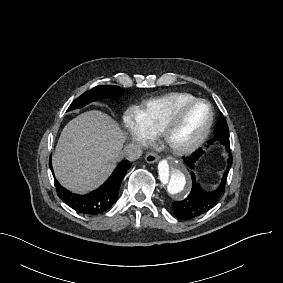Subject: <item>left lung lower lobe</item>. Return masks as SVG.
Masks as SVG:
<instances>
[{"instance_id":"obj_1","label":"left lung lower lobe","mask_w":283,"mask_h":283,"mask_svg":"<svg viewBox=\"0 0 283 283\" xmlns=\"http://www.w3.org/2000/svg\"><path fill=\"white\" fill-rule=\"evenodd\" d=\"M219 143L224 146L229 153L228 166L223 174L220 185L214 191L204 190L196 181L195 175L191 172L192 188L186 199L179 202H173L172 208L176 217L184 220H190L203 215L210 210L224 194L225 182L229 168L232 164V156L229 142V130L225 118L222 113L218 117V122L214 129V138L208 144ZM202 149H199L191 157L184 158V162L190 169H194V164L202 154Z\"/></svg>"}]
</instances>
